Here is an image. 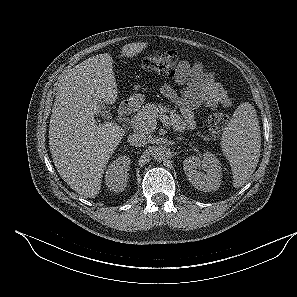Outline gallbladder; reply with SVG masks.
Wrapping results in <instances>:
<instances>
[{
  "instance_id": "1",
  "label": "gallbladder",
  "mask_w": 297,
  "mask_h": 297,
  "mask_svg": "<svg viewBox=\"0 0 297 297\" xmlns=\"http://www.w3.org/2000/svg\"><path fill=\"white\" fill-rule=\"evenodd\" d=\"M98 106L100 107V112L104 117H109V111L106 109L103 103H98Z\"/></svg>"
}]
</instances>
